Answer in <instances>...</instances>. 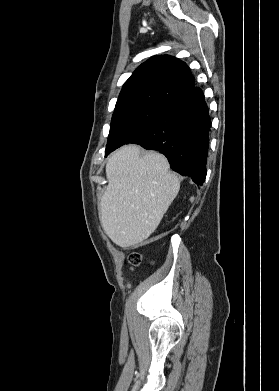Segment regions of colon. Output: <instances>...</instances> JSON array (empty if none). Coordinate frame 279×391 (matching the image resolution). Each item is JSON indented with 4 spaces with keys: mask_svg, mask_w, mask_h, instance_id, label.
<instances>
[{
    "mask_svg": "<svg viewBox=\"0 0 279 391\" xmlns=\"http://www.w3.org/2000/svg\"><path fill=\"white\" fill-rule=\"evenodd\" d=\"M141 262V255L139 253H132L129 256V263L133 266L138 265Z\"/></svg>",
    "mask_w": 279,
    "mask_h": 391,
    "instance_id": "obj_1",
    "label": "colon"
}]
</instances>
